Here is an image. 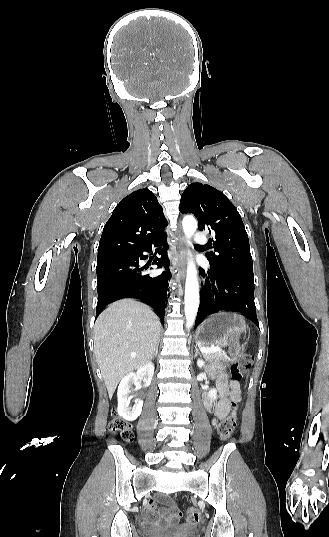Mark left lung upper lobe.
Returning a JSON list of instances; mask_svg holds the SVG:
<instances>
[{
	"mask_svg": "<svg viewBox=\"0 0 329 537\" xmlns=\"http://www.w3.org/2000/svg\"><path fill=\"white\" fill-rule=\"evenodd\" d=\"M179 209L198 219L200 231L209 230L215 252L206 254L212 268L253 275L247 232L241 216L230 200L207 184L192 183L181 196Z\"/></svg>",
	"mask_w": 329,
	"mask_h": 537,
	"instance_id": "1",
	"label": "left lung upper lobe"
}]
</instances>
